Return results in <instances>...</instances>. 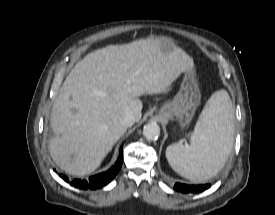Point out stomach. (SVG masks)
<instances>
[{
    "label": "stomach",
    "instance_id": "1",
    "mask_svg": "<svg viewBox=\"0 0 275 215\" xmlns=\"http://www.w3.org/2000/svg\"><path fill=\"white\" fill-rule=\"evenodd\" d=\"M161 50L165 53L176 49L172 39L159 38ZM200 90L194 70L185 71L180 89L174 99L163 105L158 114L167 119L177 120L181 125L189 123L200 104Z\"/></svg>",
    "mask_w": 275,
    "mask_h": 215
}]
</instances>
